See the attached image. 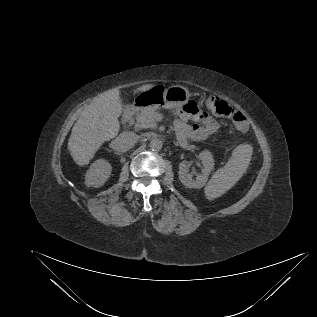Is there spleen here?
Instances as JSON below:
<instances>
[{
  "mask_svg": "<svg viewBox=\"0 0 317 317\" xmlns=\"http://www.w3.org/2000/svg\"><path fill=\"white\" fill-rule=\"evenodd\" d=\"M252 155V146L241 144L237 146L228 163L218 169L205 187L204 193L208 200L220 197L229 190L246 171Z\"/></svg>",
  "mask_w": 317,
  "mask_h": 317,
  "instance_id": "1",
  "label": "spleen"
}]
</instances>
